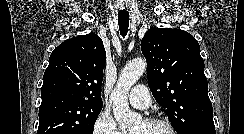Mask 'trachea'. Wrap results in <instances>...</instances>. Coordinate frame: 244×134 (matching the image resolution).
Segmentation results:
<instances>
[{"instance_id":"obj_1","label":"trachea","mask_w":244,"mask_h":134,"mask_svg":"<svg viewBox=\"0 0 244 134\" xmlns=\"http://www.w3.org/2000/svg\"><path fill=\"white\" fill-rule=\"evenodd\" d=\"M118 24L120 34L125 37L129 28V13H118Z\"/></svg>"}]
</instances>
